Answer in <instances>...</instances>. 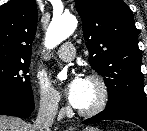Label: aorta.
Listing matches in <instances>:
<instances>
[{
	"label": "aorta",
	"instance_id": "762f6f07",
	"mask_svg": "<svg viewBox=\"0 0 147 131\" xmlns=\"http://www.w3.org/2000/svg\"><path fill=\"white\" fill-rule=\"evenodd\" d=\"M76 26L77 19L71 14L54 18L46 33L45 46L49 49L56 47L74 32ZM57 78L61 81L65 80L67 73L60 72Z\"/></svg>",
	"mask_w": 147,
	"mask_h": 131
}]
</instances>
